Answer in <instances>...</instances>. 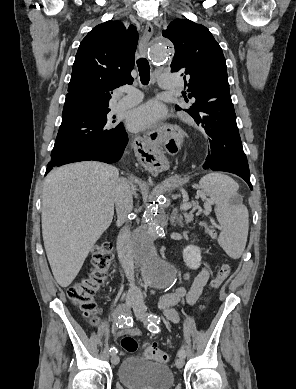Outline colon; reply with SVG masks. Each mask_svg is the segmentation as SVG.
<instances>
[{
	"label": "colon",
	"mask_w": 296,
	"mask_h": 389,
	"mask_svg": "<svg viewBox=\"0 0 296 389\" xmlns=\"http://www.w3.org/2000/svg\"><path fill=\"white\" fill-rule=\"evenodd\" d=\"M208 234L216 237L215 231L208 225H205ZM113 254L112 246L109 242L103 241L93 248L92 266L89 272L78 282L68 288V297L71 302L86 316L90 323L95 325L98 322L97 305L95 297L97 293L107 283L110 276V267L112 264ZM232 267L229 264H224L218 270L216 276L211 280L210 286L213 291H216L230 276ZM122 348L133 353L138 348L136 339L132 336H125L121 341ZM145 356L153 361L167 364L170 362V355L157 348L149 346L145 350Z\"/></svg>",
	"instance_id": "5ec220e1"
}]
</instances>
